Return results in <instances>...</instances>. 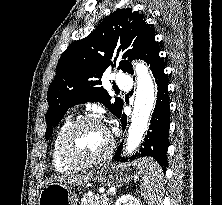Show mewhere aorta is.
<instances>
[{"label": "aorta", "instance_id": "762f6f07", "mask_svg": "<svg viewBox=\"0 0 222 205\" xmlns=\"http://www.w3.org/2000/svg\"><path fill=\"white\" fill-rule=\"evenodd\" d=\"M134 68L137 74V87L125 147L127 155L133 154L140 146L155 105V85L148 67L144 63L135 62Z\"/></svg>", "mask_w": 222, "mask_h": 205}]
</instances>
